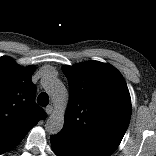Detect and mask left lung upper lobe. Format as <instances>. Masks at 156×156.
Segmentation results:
<instances>
[{
	"mask_svg": "<svg viewBox=\"0 0 156 156\" xmlns=\"http://www.w3.org/2000/svg\"><path fill=\"white\" fill-rule=\"evenodd\" d=\"M69 103L61 134L112 154L131 117V99L121 73L112 65L88 61L63 66Z\"/></svg>",
	"mask_w": 156,
	"mask_h": 156,
	"instance_id": "1",
	"label": "left lung upper lobe"
}]
</instances>
